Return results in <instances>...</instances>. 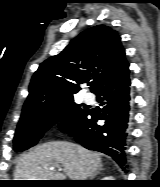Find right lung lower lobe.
<instances>
[{
    "label": "right lung lower lobe",
    "instance_id": "98d812e1",
    "mask_svg": "<svg viewBox=\"0 0 160 187\" xmlns=\"http://www.w3.org/2000/svg\"><path fill=\"white\" fill-rule=\"evenodd\" d=\"M129 65L102 83L96 92L102 109H90L71 132L76 142L89 150L111 156L123 170L126 168L125 138L129 118ZM101 120L102 124L97 122Z\"/></svg>",
    "mask_w": 160,
    "mask_h": 187
}]
</instances>
